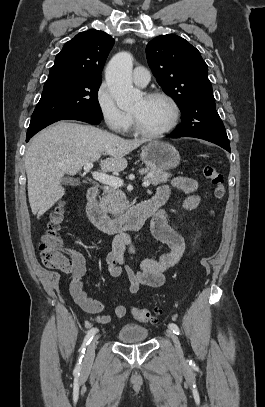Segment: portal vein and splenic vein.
<instances>
[{
    "mask_svg": "<svg viewBox=\"0 0 265 407\" xmlns=\"http://www.w3.org/2000/svg\"><path fill=\"white\" fill-rule=\"evenodd\" d=\"M93 168V163H87L86 165H84V171L85 172H89L91 169ZM93 178L102 183V184H106L112 187H121L123 185V180L115 177V176H111L102 172H97L94 171L92 173ZM142 185L144 187H148L150 185V181L149 180H144V182L142 183Z\"/></svg>",
    "mask_w": 265,
    "mask_h": 407,
    "instance_id": "1",
    "label": "portal vein and splenic vein"
}]
</instances>
